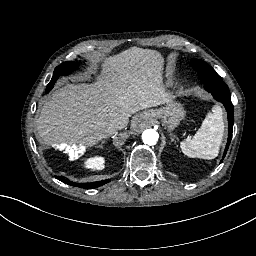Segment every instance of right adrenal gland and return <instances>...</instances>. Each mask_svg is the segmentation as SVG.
Returning a JSON list of instances; mask_svg holds the SVG:
<instances>
[{"label": "right adrenal gland", "mask_w": 256, "mask_h": 256, "mask_svg": "<svg viewBox=\"0 0 256 256\" xmlns=\"http://www.w3.org/2000/svg\"><path fill=\"white\" fill-rule=\"evenodd\" d=\"M104 143H105V141H102V142H101V146H102Z\"/></svg>", "instance_id": "obj_1"}]
</instances>
